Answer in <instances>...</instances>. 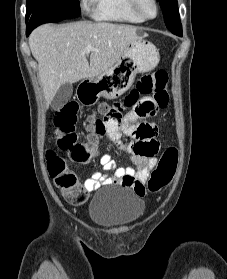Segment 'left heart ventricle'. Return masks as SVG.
<instances>
[{
    "mask_svg": "<svg viewBox=\"0 0 227 279\" xmlns=\"http://www.w3.org/2000/svg\"><path fill=\"white\" fill-rule=\"evenodd\" d=\"M140 8L142 12L148 16H152L155 13L154 5L151 0H140Z\"/></svg>",
    "mask_w": 227,
    "mask_h": 279,
    "instance_id": "b2bd125f",
    "label": "left heart ventricle"
}]
</instances>
